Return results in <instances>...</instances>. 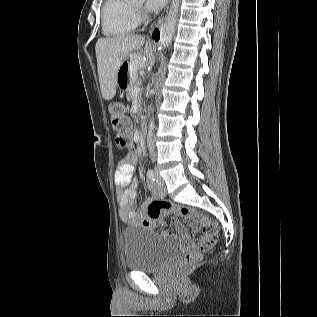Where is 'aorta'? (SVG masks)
<instances>
[{
  "label": "aorta",
  "instance_id": "762f6f07",
  "mask_svg": "<svg viewBox=\"0 0 317 317\" xmlns=\"http://www.w3.org/2000/svg\"><path fill=\"white\" fill-rule=\"evenodd\" d=\"M169 25H170V23H168V25H166V27H165V28H166V29H168V26H169Z\"/></svg>",
  "mask_w": 317,
  "mask_h": 317
}]
</instances>
